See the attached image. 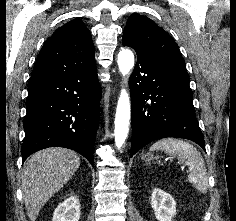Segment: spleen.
I'll use <instances>...</instances> for the list:
<instances>
[{
    "label": "spleen",
    "mask_w": 236,
    "mask_h": 221,
    "mask_svg": "<svg viewBox=\"0 0 236 221\" xmlns=\"http://www.w3.org/2000/svg\"><path fill=\"white\" fill-rule=\"evenodd\" d=\"M151 151L161 150L175 156L180 162L185 163L189 169L188 180L200 192L205 193L208 189V177L204 159L200 152L189 142L164 138L156 141Z\"/></svg>",
    "instance_id": "spleen-1"
}]
</instances>
